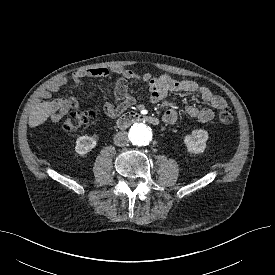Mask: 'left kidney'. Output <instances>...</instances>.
<instances>
[{"instance_id": "obj_1", "label": "left kidney", "mask_w": 275, "mask_h": 275, "mask_svg": "<svg viewBox=\"0 0 275 275\" xmlns=\"http://www.w3.org/2000/svg\"><path fill=\"white\" fill-rule=\"evenodd\" d=\"M208 132L202 129L193 130L190 135L184 137V144L187 151L193 154L203 153L206 148V141L208 140Z\"/></svg>"}]
</instances>
